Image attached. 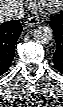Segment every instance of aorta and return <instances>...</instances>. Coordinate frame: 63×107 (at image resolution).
<instances>
[{"instance_id": "aorta-1", "label": "aorta", "mask_w": 63, "mask_h": 107, "mask_svg": "<svg viewBox=\"0 0 63 107\" xmlns=\"http://www.w3.org/2000/svg\"><path fill=\"white\" fill-rule=\"evenodd\" d=\"M33 36L37 43L49 44L54 38V33L50 27L39 26L34 30Z\"/></svg>"}]
</instances>
